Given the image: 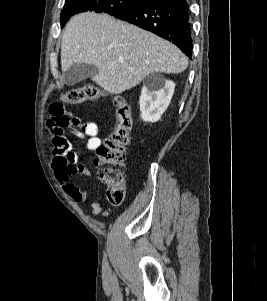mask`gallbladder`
I'll use <instances>...</instances> for the list:
<instances>
[{"instance_id":"gallbladder-1","label":"gallbladder","mask_w":267,"mask_h":301,"mask_svg":"<svg viewBox=\"0 0 267 301\" xmlns=\"http://www.w3.org/2000/svg\"><path fill=\"white\" fill-rule=\"evenodd\" d=\"M98 68L93 64L76 63L62 73V81L73 86L80 81L93 77L98 73Z\"/></svg>"}]
</instances>
